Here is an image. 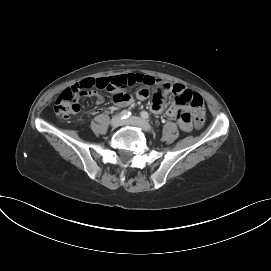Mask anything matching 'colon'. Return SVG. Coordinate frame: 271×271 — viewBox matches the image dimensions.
<instances>
[{
  "label": "colon",
  "instance_id": "1",
  "mask_svg": "<svg viewBox=\"0 0 271 271\" xmlns=\"http://www.w3.org/2000/svg\"><path fill=\"white\" fill-rule=\"evenodd\" d=\"M97 87L95 83L76 84L75 86L65 89L57 98L54 110L63 118H68L80 111L78 97L83 94L84 90ZM177 101L182 104H188L195 110L194 125L196 128H201L204 123V101L201 95L197 93H187L177 98Z\"/></svg>",
  "mask_w": 271,
  "mask_h": 271
}]
</instances>
